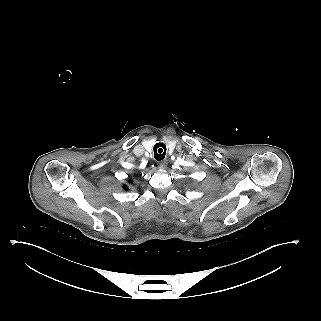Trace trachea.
Returning a JSON list of instances; mask_svg holds the SVG:
<instances>
[{
	"label": "trachea",
	"instance_id": "3493384b",
	"mask_svg": "<svg viewBox=\"0 0 321 321\" xmlns=\"http://www.w3.org/2000/svg\"><path fill=\"white\" fill-rule=\"evenodd\" d=\"M154 158L158 161L162 160L166 154V146L163 143H157L152 148Z\"/></svg>",
	"mask_w": 321,
	"mask_h": 321
}]
</instances>
